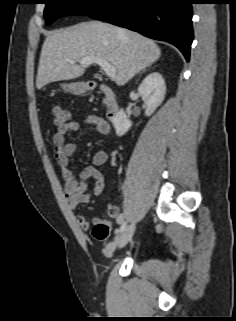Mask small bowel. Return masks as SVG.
Returning a JSON list of instances; mask_svg holds the SVG:
<instances>
[{
	"label": "small bowel",
	"instance_id": "small-bowel-1",
	"mask_svg": "<svg viewBox=\"0 0 236 321\" xmlns=\"http://www.w3.org/2000/svg\"><path fill=\"white\" fill-rule=\"evenodd\" d=\"M83 123L94 127L99 136L111 135V124L98 115L90 114L86 116ZM79 128V122L70 120L66 124L58 126L57 131L53 135V149L64 179L65 197L72 209H75L79 205L90 203L103 192L105 188V177L97 166L103 165L108 159L106 151H98L93 156V164L85 167L78 177L74 175L70 159L77 150V144L75 142H67L65 137L66 134L75 132ZM90 179H94L95 181L91 191L88 190V181ZM107 209L109 219H115L117 222H121L122 215L118 206L109 204ZM101 221L108 220L96 218L93 221H89L84 215L77 216V222L84 230H88L92 224ZM111 251L112 246H107L105 252L110 253Z\"/></svg>",
	"mask_w": 236,
	"mask_h": 321
}]
</instances>
